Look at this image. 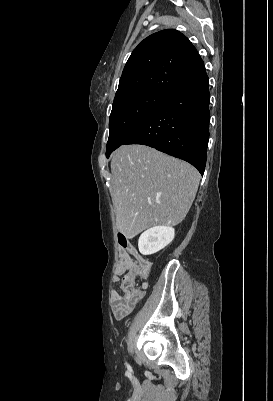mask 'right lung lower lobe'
I'll list each match as a JSON object with an SVG mask.
<instances>
[{"label": "right lung lower lobe", "instance_id": "1", "mask_svg": "<svg viewBox=\"0 0 273 401\" xmlns=\"http://www.w3.org/2000/svg\"><path fill=\"white\" fill-rule=\"evenodd\" d=\"M210 93L206 71L168 92L122 145L142 144L183 159L204 173Z\"/></svg>", "mask_w": 273, "mask_h": 401}]
</instances>
